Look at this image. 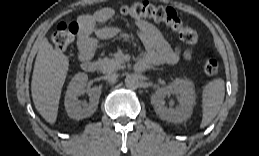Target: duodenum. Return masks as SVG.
<instances>
[{
    "instance_id": "duodenum-1",
    "label": "duodenum",
    "mask_w": 259,
    "mask_h": 156,
    "mask_svg": "<svg viewBox=\"0 0 259 156\" xmlns=\"http://www.w3.org/2000/svg\"><path fill=\"white\" fill-rule=\"evenodd\" d=\"M82 68H83V70H85L87 72H95L98 69V64L92 58H90L89 56H86L82 60ZM145 68L146 67L143 64H141L140 62L137 63V65H136V69L139 71H143Z\"/></svg>"
}]
</instances>
